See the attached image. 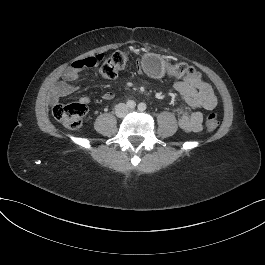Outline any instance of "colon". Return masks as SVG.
I'll return each instance as SVG.
<instances>
[{
	"label": "colon",
	"mask_w": 265,
	"mask_h": 265,
	"mask_svg": "<svg viewBox=\"0 0 265 265\" xmlns=\"http://www.w3.org/2000/svg\"><path fill=\"white\" fill-rule=\"evenodd\" d=\"M129 60L128 52L116 51L104 57L101 54L93 55L76 61L71 67V73L76 74L79 70L100 66V73L106 79H114L122 71ZM166 74L170 78H193L200 79L199 73L185 63L170 64L166 67ZM87 113V107L83 103L56 104L53 108L54 118L70 129L79 128ZM207 130L213 131L219 126V121L213 109L208 110L205 119Z\"/></svg>",
	"instance_id": "obj_1"
}]
</instances>
